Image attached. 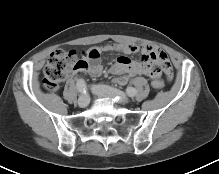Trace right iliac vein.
Returning a JSON list of instances; mask_svg holds the SVG:
<instances>
[{"label": "right iliac vein", "mask_w": 219, "mask_h": 174, "mask_svg": "<svg viewBox=\"0 0 219 174\" xmlns=\"http://www.w3.org/2000/svg\"><path fill=\"white\" fill-rule=\"evenodd\" d=\"M89 96L88 95H82L78 99V105L81 108H85L89 104Z\"/></svg>", "instance_id": "right-iliac-vein-1"}]
</instances>
